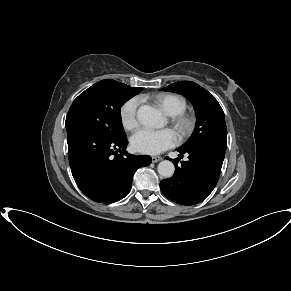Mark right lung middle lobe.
<instances>
[{
    "instance_id": "obj_1",
    "label": "right lung middle lobe",
    "mask_w": 291,
    "mask_h": 291,
    "mask_svg": "<svg viewBox=\"0 0 291 291\" xmlns=\"http://www.w3.org/2000/svg\"><path fill=\"white\" fill-rule=\"evenodd\" d=\"M141 90L115 80L97 82L72 103L66 117V129L85 130L109 140L125 138L120 107Z\"/></svg>"
}]
</instances>
